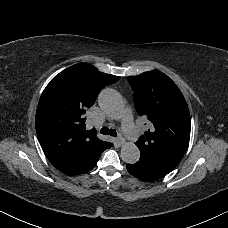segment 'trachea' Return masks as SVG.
<instances>
[{
  "instance_id": "obj_1",
  "label": "trachea",
  "mask_w": 228,
  "mask_h": 228,
  "mask_svg": "<svg viewBox=\"0 0 228 228\" xmlns=\"http://www.w3.org/2000/svg\"><path fill=\"white\" fill-rule=\"evenodd\" d=\"M100 133L104 134V135H110V136H113V137L117 136L116 130L109 129L108 127H105V126L100 130Z\"/></svg>"
}]
</instances>
